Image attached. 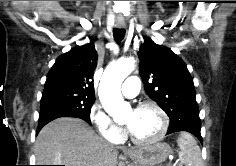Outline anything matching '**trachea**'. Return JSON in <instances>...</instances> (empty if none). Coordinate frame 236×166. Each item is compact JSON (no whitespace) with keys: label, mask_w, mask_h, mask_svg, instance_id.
I'll return each mask as SVG.
<instances>
[{"label":"trachea","mask_w":236,"mask_h":166,"mask_svg":"<svg viewBox=\"0 0 236 166\" xmlns=\"http://www.w3.org/2000/svg\"><path fill=\"white\" fill-rule=\"evenodd\" d=\"M125 31L123 29H113V37L116 42L120 43L124 38Z\"/></svg>","instance_id":"trachea-1"}]
</instances>
